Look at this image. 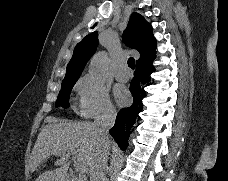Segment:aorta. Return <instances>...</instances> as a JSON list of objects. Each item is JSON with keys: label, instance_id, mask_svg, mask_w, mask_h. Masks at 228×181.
I'll use <instances>...</instances> for the list:
<instances>
[{"label": "aorta", "instance_id": "obj_1", "mask_svg": "<svg viewBox=\"0 0 228 181\" xmlns=\"http://www.w3.org/2000/svg\"><path fill=\"white\" fill-rule=\"evenodd\" d=\"M107 62V53L99 52L95 54L90 60L89 74L94 78L100 79L107 67Z\"/></svg>", "mask_w": 228, "mask_h": 181}]
</instances>
